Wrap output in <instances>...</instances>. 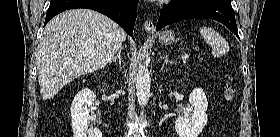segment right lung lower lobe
Segmentation results:
<instances>
[{
  "label": "right lung lower lobe",
  "instance_id": "98d812e1",
  "mask_svg": "<svg viewBox=\"0 0 280 137\" xmlns=\"http://www.w3.org/2000/svg\"><path fill=\"white\" fill-rule=\"evenodd\" d=\"M137 4L138 0H51L45 24L65 10L88 8L114 20L134 39L133 29L137 17Z\"/></svg>",
  "mask_w": 280,
  "mask_h": 137
}]
</instances>
